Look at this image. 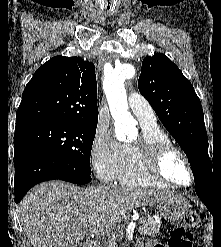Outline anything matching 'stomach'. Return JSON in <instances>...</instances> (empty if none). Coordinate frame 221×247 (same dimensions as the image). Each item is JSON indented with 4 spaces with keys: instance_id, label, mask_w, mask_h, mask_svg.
<instances>
[{
    "instance_id": "obj_1",
    "label": "stomach",
    "mask_w": 221,
    "mask_h": 247,
    "mask_svg": "<svg viewBox=\"0 0 221 247\" xmlns=\"http://www.w3.org/2000/svg\"><path fill=\"white\" fill-rule=\"evenodd\" d=\"M157 209L165 220L178 222L189 212L190 205L180 196H171L161 200L157 204Z\"/></svg>"
}]
</instances>
